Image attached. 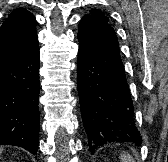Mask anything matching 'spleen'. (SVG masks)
<instances>
[{
  "mask_svg": "<svg viewBox=\"0 0 168 162\" xmlns=\"http://www.w3.org/2000/svg\"><path fill=\"white\" fill-rule=\"evenodd\" d=\"M121 162H135L134 159L129 154L122 153L120 155Z\"/></svg>",
  "mask_w": 168,
  "mask_h": 162,
  "instance_id": "3e777b00",
  "label": "spleen"
}]
</instances>
